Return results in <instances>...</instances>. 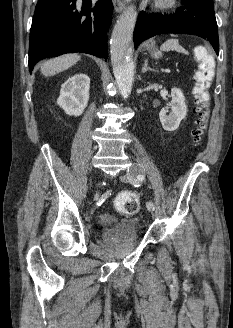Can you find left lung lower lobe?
I'll use <instances>...</instances> for the list:
<instances>
[{
    "mask_svg": "<svg viewBox=\"0 0 233 328\" xmlns=\"http://www.w3.org/2000/svg\"><path fill=\"white\" fill-rule=\"evenodd\" d=\"M175 14L159 15L141 12L135 32V48L150 37L163 33L191 34L206 38L219 54V41L214 6L202 0H182Z\"/></svg>",
    "mask_w": 233,
    "mask_h": 328,
    "instance_id": "obj_1",
    "label": "left lung lower lobe"
}]
</instances>
